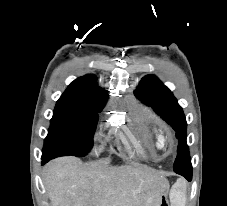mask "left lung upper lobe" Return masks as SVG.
<instances>
[{"label": "left lung upper lobe", "instance_id": "left-lung-upper-lobe-1", "mask_svg": "<svg viewBox=\"0 0 227 206\" xmlns=\"http://www.w3.org/2000/svg\"><path fill=\"white\" fill-rule=\"evenodd\" d=\"M134 93L138 99L152 107L176 131L178 148L174 171L192 170L189 148L186 143L185 115L172 92L156 76L147 75L142 78Z\"/></svg>", "mask_w": 227, "mask_h": 206}]
</instances>
